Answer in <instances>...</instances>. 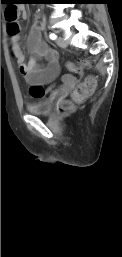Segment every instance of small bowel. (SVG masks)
I'll return each instance as SVG.
<instances>
[{"label":"small bowel","instance_id":"obj_1","mask_svg":"<svg viewBox=\"0 0 122 257\" xmlns=\"http://www.w3.org/2000/svg\"><path fill=\"white\" fill-rule=\"evenodd\" d=\"M18 12L22 18H27L24 6H19ZM10 45L11 56L16 58L15 64H18L19 67L14 68L13 72L21 73L26 81L30 83L29 85H32V83L47 85L58 77L60 72L58 53L42 41V27L38 17H35L27 39L28 49L33 55L29 59L26 58L20 45V35L18 33L10 35ZM37 58H43L45 64H38ZM49 94H51V90Z\"/></svg>","mask_w":122,"mask_h":257}]
</instances>
